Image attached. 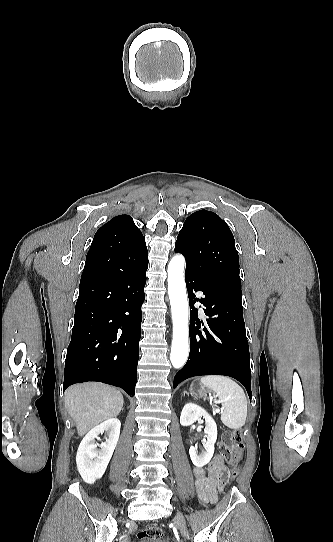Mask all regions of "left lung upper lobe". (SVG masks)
Returning <instances> with one entry per match:
<instances>
[{
	"instance_id": "left-lung-upper-lobe-1",
	"label": "left lung upper lobe",
	"mask_w": 333,
	"mask_h": 542,
	"mask_svg": "<svg viewBox=\"0 0 333 542\" xmlns=\"http://www.w3.org/2000/svg\"><path fill=\"white\" fill-rule=\"evenodd\" d=\"M175 251L185 256L186 269L201 277L241 290L239 256L228 225L217 214L199 210L183 224Z\"/></svg>"
}]
</instances>
